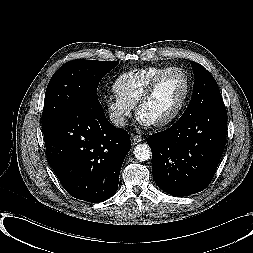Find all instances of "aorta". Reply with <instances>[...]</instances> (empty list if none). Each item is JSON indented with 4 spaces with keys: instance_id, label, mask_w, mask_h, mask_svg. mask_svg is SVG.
<instances>
[{
    "instance_id": "aorta-1",
    "label": "aorta",
    "mask_w": 253,
    "mask_h": 253,
    "mask_svg": "<svg viewBox=\"0 0 253 253\" xmlns=\"http://www.w3.org/2000/svg\"><path fill=\"white\" fill-rule=\"evenodd\" d=\"M134 156L139 161H147L151 157V149L147 144H138L134 148Z\"/></svg>"
}]
</instances>
